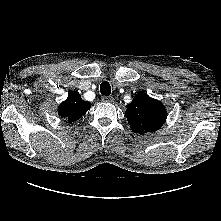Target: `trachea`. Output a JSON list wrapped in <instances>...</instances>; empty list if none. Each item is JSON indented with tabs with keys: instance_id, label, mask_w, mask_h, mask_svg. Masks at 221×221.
Segmentation results:
<instances>
[{
	"instance_id": "trachea-1",
	"label": "trachea",
	"mask_w": 221,
	"mask_h": 221,
	"mask_svg": "<svg viewBox=\"0 0 221 221\" xmlns=\"http://www.w3.org/2000/svg\"><path fill=\"white\" fill-rule=\"evenodd\" d=\"M100 92L102 95L109 96L111 94V86L107 81H104L100 85Z\"/></svg>"
}]
</instances>
